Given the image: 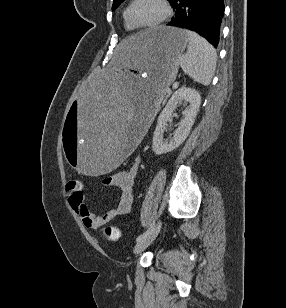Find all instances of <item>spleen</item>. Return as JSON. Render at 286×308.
<instances>
[{"label":"spleen","mask_w":286,"mask_h":308,"mask_svg":"<svg viewBox=\"0 0 286 308\" xmlns=\"http://www.w3.org/2000/svg\"><path fill=\"white\" fill-rule=\"evenodd\" d=\"M189 43L180 66L194 81L209 85L216 68L217 54L212 45L193 31L186 30Z\"/></svg>","instance_id":"1"}]
</instances>
